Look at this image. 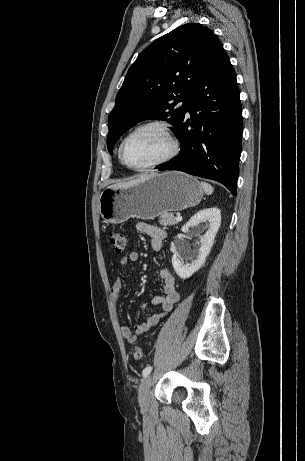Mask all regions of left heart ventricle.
I'll list each match as a JSON object with an SVG mask.
<instances>
[{
	"label": "left heart ventricle",
	"instance_id": "left-heart-ventricle-1",
	"mask_svg": "<svg viewBox=\"0 0 305 461\" xmlns=\"http://www.w3.org/2000/svg\"><path fill=\"white\" fill-rule=\"evenodd\" d=\"M170 149L165 134L155 128L144 129L132 136L126 143V160L134 166L150 164L162 158Z\"/></svg>",
	"mask_w": 305,
	"mask_h": 461
}]
</instances>
